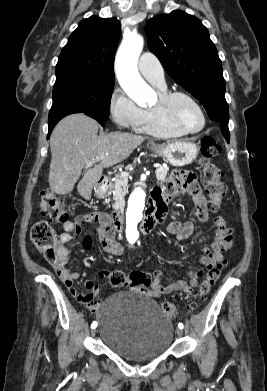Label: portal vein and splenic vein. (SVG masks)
Returning <instances> with one entry per match:
<instances>
[{
    "label": "portal vein and splenic vein",
    "mask_w": 267,
    "mask_h": 391,
    "mask_svg": "<svg viewBox=\"0 0 267 391\" xmlns=\"http://www.w3.org/2000/svg\"><path fill=\"white\" fill-rule=\"evenodd\" d=\"M108 154H102V155H100L99 157H97L96 159H93V160H91V161H89L88 163H87V165H86V167H90V166H92L93 164H95L96 162H99L100 160H102L105 156H107ZM154 167L155 168H159V165L158 164H155L154 165ZM128 173L127 172H122V173H120V175L119 176H121V177H128Z\"/></svg>",
    "instance_id": "1"
}]
</instances>
